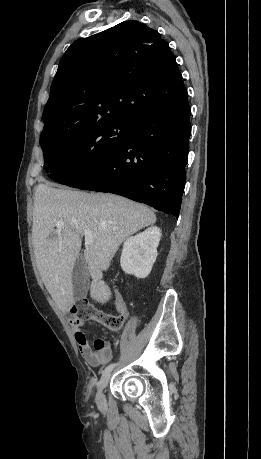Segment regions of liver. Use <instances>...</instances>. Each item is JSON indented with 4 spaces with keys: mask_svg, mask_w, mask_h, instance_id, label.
Returning <instances> with one entry per match:
<instances>
[{
    "mask_svg": "<svg viewBox=\"0 0 261 459\" xmlns=\"http://www.w3.org/2000/svg\"><path fill=\"white\" fill-rule=\"evenodd\" d=\"M61 219L64 226L59 229L55 225ZM155 222L151 209L122 196L38 184L32 236L40 275L58 307L68 311L73 305L72 273L84 230L93 238L84 252L92 277L90 296L104 303L111 293L102 272L126 238Z\"/></svg>",
    "mask_w": 261,
    "mask_h": 459,
    "instance_id": "obj_1",
    "label": "liver"
}]
</instances>
